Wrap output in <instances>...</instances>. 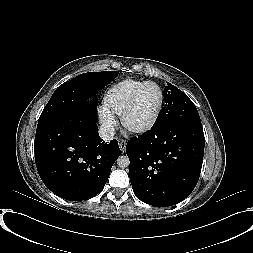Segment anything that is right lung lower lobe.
Segmentation results:
<instances>
[{"label": "right lung lower lobe", "instance_id": "obj_1", "mask_svg": "<svg viewBox=\"0 0 253 253\" xmlns=\"http://www.w3.org/2000/svg\"><path fill=\"white\" fill-rule=\"evenodd\" d=\"M96 120V115L81 109L37 125L38 173L63 199L81 201L97 195L121 154L116 139L105 143L99 137Z\"/></svg>", "mask_w": 253, "mask_h": 253}]
</instances>
